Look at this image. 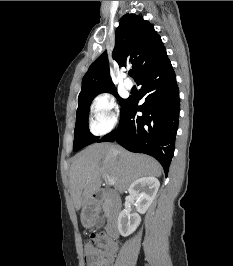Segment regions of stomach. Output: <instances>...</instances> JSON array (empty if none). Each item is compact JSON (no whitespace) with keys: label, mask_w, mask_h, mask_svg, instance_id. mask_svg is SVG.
<instances>
[{"label":"stomach","mask_w":233,"mask_h":266,"mask_svg":"<svg viewBox=\"0 0 233 266\" xmlns=\"http://www.w3.org/2000/svg\"><path fill=\"white\" fill-rule=\"evenodd\" d=\"M87 218H88V213L83 214L82 219H83L84 221H86Z\"/></svg>","instance_id":"stomach-1"}]
</instances>
